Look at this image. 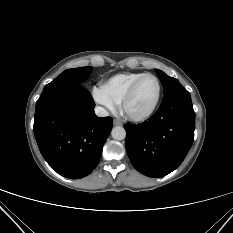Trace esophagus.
<instances>
[{"mask_svg": "<svg viewBox=\"0 0 233 233\" xmlns=\"http://www.w3.org/2000/svg\"><path fill=\"white\" fill-rule=\"evenodd\" d=\"M113 124H114L115 126H117V125H122V122H121L120 120H114Z\"/></svg>", "mask_w": 233, "mask_h": 233, "instance_id": "esophagus-1", "label": "esophagus"}]
</instances>
